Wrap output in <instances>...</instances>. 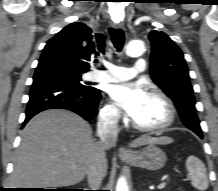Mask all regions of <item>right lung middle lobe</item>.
I'll return each instance as SVG.
<instances>
[{"label":"right lung middle lobe","instance_id":"obj_1","mask_svg":"<svg viewBox=\"0 0 218 191\" xmlns=\"http://www.w3.org/2000/svg\"><path fill=\"white\" fill-rule=\"evenodd\" d=\"M44 72L56 73L64 77L67 81H69L73 86L77 88H82L85 90L93 89V87L87 86V83H83L81 81V74L85 73L84 71L78 70L66 63L65 61L54 56L40 57L35 74H40Z\"/></svg>","mask_w":218,"mask_h":191}]
</instances>
